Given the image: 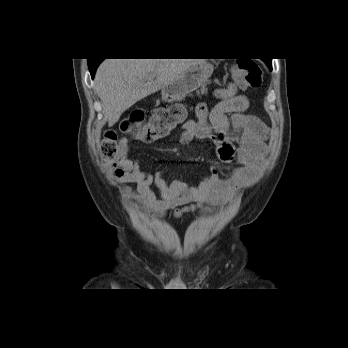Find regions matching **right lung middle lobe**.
I'll return each instance as SVG.
<instances>
[{
	"label": "right lung middle lobe",
	"mask_w": 348,
	"mask_h": 348,
	"mask_svg": "<svg viewBox=\"0 0 348 348\" xmlns=\"http://www.w3.org/2000/svg\"><path fill=\"white\" fill-rule=\"evenodd\" d=\"M98 60H102V59H98ZM91 61V59H88V63Z\"/></svg>",
	"instance_id": "obj_1"
}]
</instances>
